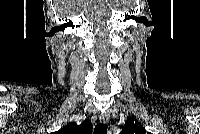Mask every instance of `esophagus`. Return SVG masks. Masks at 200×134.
Returning a JSON list of instances; mask_svg holds the SVG:
<instances>
[{
  "instance_id": "obj_1",
  "label": "esophagus",
  "mask_w": 200,
  "mask_h": 134,
  "mask_svg": "<svg viewBox=\"0 0 200 134\" xmlns=\"http://www.w3.org/2000/svg\"><path fill=\"white\" fill-rule=\"evenodd\" d=\"M99 118L103 124H107L110 119V114L109 112H102Z\"/></svg>"
}]
</instances>
